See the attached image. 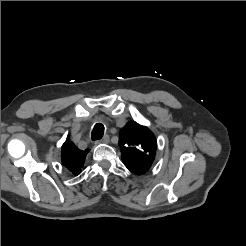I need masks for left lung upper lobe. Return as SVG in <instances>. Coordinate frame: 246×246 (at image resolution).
I'll list each match as a JSON object with an SVG mask.
<instances>
[{"label": "left lung upper lobe", "instance_id": "1", "mask_svg": "<svg viewBox=\"0 0 246 246\" xmlns=\"http://www.w3.org/2000/svg\"><path fill=\"white\" fill-rule=\"evenodd\" d=\"M119 146L124 165L141 175L151 167L156 153V139L145 126L134 121L120 130Z\"/></svg>", "mask_w": 246, "mask_h": 246}]
</instances>
